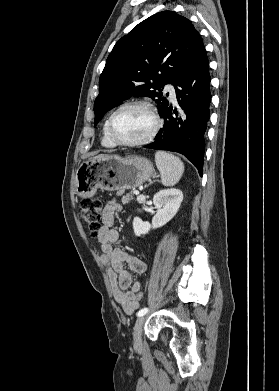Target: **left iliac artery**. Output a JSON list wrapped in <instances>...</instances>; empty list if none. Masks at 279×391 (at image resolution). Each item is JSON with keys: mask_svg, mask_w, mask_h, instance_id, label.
Returning <instances> with one entry per match:
<instances>
[{"mask_svg": "<svg viewBox=\"0 0 279 391\" xmlns=\"http://www.w3.org/2000/svg\"><path fill=\"white\" fill-rule=\"evenodd\" d=\"M148 312V308H143V309H141V310H139L138 311V313H137V316H143V315H145L146 313Z\"/></svg>", "mask_w": 279, "mask_h": 391, "instance_id": "1", "label": "left iliac artery"}]
</instances>
